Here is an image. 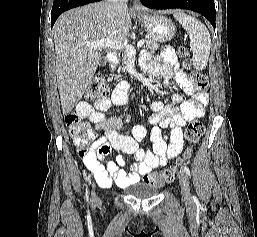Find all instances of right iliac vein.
I'll use <instances>...</instances> for the list:
<instances>
[{
    "mask_svg": "<svg viewBox=\"0 0 257 237\" xmlns=\"http://www.w3.org/2000/svg\"><path fill=\"white\" fill-rule=\"evenodd\" d=\"M98 201H99V199H98L96 193L93 191V193H92V202H93V204H96Z\"/></svg>",
    "mask_w": 257,
    "mask_h": 237,
    "instance_id": "obj_1",
    "label": "right iliac vein"
}]
</instances>
